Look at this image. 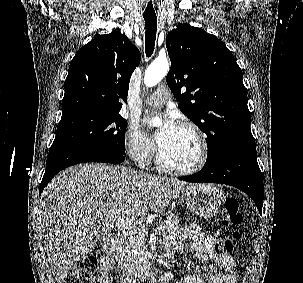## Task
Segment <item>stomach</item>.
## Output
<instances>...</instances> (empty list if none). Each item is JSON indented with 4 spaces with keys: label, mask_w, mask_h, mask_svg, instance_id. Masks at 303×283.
<instances>
[{
    "label": "stomach",
    "mask_w": 303,
    "mask_h": 283,
    "mask_svg": "<svg viewBox=\"0 0 303 283\" xmlns=\"http://www.w3.org/2000/svg\"><path fill=\"white\" fill-rule=\"evenodd\" d=\"M225 201L223 192L212 185H195L186 189V205L195 215L214 216Z\"/></svg>",
    "instance_id": "obj_1"
}]
</instances>
